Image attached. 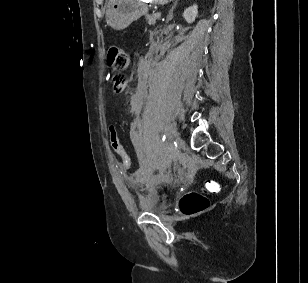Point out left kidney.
Instances as JSON below:
<instances>
[{"label": "left kidney", "instance_id": "1", "mask_svg": "<svg viewBox=\"0 0 308 283\" xmlns=\"http://www.w3.org/2000/svg\"><path fill=\"white\" fill-rule=\"evenodd\" d=\"M197 15H198V6L196 4L188 7L183 13L184 19L189 24L195 21Z\"/></svg>", "mask_w": 308, "mask_h": 283}]
</instances>
